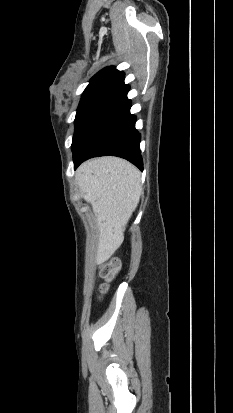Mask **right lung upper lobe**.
Here are the masks:
<instances>
[{"mask_svg": "<svg viewBox=\"0 0 233 413\" xmlns=\"http://www.w3.org/2000/svg\"><path fill=\"white\" fill-rule=\"evenodd\" d=\"M124 77V73L118 71L115 67H106L99 71L95 76L92 77L90 84L98 81H118L120 78Z\"/></svg>", "mask_w": 233, "mask_h": 413, "instance_id": "1", "label": "right lung upper lobe"}]
</instances>
